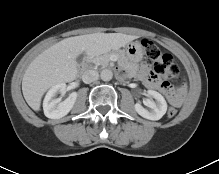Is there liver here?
I'll use <instances>...</instances> for the list:
<instances>
[{"instance_id":"obj_1","label":"liver","mask_w":219,"mask_h":174,"mask_svg":"<svg viewBox=\"0 0 219 174\" xmlns=\"http://www.w3.org/2000/svg\"><path fill=\"white\" fill-rule=\"evenodd\" d=\"M138 38L122 33H93L69 37L39 54L28 66L22 80L27 104L39 111L44 93L59 83L73 81L78 74L77 57L82 53L98 56L118 50Z\"/></svg>"}]
</instances>
